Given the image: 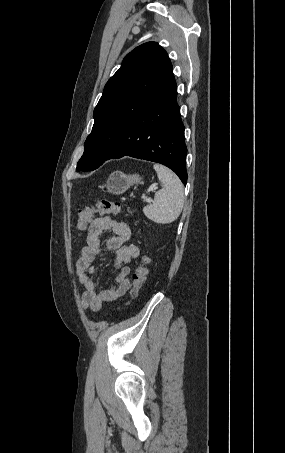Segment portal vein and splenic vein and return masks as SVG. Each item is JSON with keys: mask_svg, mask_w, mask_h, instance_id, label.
<instances>
[{"mask_svg": "<svg viewBox=\"0 0 285 453\" xmlns=\"http://www.w3.org/2000/svg\"><path fill=\"white\" fill-rule=\"evenodd\" d=\"M155 189H156V186L153 185V186H151V187L148 189V192L154 191ZM143 199H144V201H146V202H151V201H152L150 198H146V197H143Z\"/></svg>", "mask_w": 285, "mask_h": 453, "instance_id": "portal-vein-and-splenic-vein-1", "label": "portal vein and splenic vein"}]
</instances>
